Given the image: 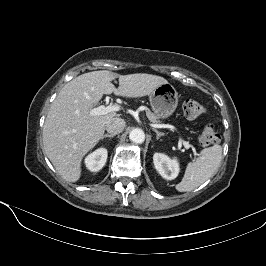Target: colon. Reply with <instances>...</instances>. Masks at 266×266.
Masks as SVG:
<instances>
[{"instance_id":"colon-1","label":"colon","mask_w":266,"mask_h":266,"mask_svg":"<svg viewBox=\"0 0 266 266\" xmlns=\"http://www.w3.org/2000/svg\"><path fill=\"white\" fill-rule=\"evenodd\" d=\"M183 112L188 119H196L205 113V107L198 101L187 99L183 103ZM198 141L202 146H210L220 141V134L215 126L208 124L203 127Z\"/></svg>"}]
</instances>
